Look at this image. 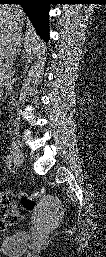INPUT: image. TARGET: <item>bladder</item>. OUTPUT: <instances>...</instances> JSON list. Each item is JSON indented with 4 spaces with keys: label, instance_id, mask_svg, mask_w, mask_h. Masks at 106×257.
Segmentation results:
<instances>
[{
    "label": "bladder",
    "instance_id": "1",
    "mask_svg": "<svg viewBox=\"0 0 106 257\" xmlns=\"http://www.w3.org/2000/svg\"><path fill=\"white\" fill-rule=\"evenodd\" d=\"M29 236L26 232H16L2 238L0 251L6 256L22 255L27 248Z\"/></svg>",
    "mask_w": 106,
    "mask_h": 257
}]
</instances>
